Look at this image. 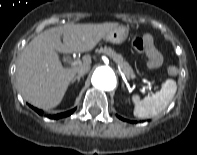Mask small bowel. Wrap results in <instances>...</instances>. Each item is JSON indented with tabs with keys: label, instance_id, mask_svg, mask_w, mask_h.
<instances>
[{
	"label": "small bowel",
	"instance_id": "obj_1",
	"mask_svg": "<svg viewBox=\"0 0 197 155\" xmlns=\"http://www.w3.org/2000/svg\"><path fill=\"white\" fill-rule=\"evenodd\" d=\"M148 40H151L149 37H146Z\"/></svg>",
	"mask_w": 197,
	"mask_h": 155
}]
</instances>
